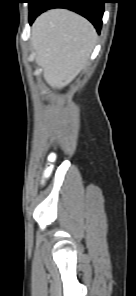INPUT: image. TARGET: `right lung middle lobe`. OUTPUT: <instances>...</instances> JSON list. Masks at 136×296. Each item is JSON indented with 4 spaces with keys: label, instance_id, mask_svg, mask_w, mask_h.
<instances>
[{
    "label": "right lung middle lobe",
    "instance_id": "dd1d6c3e",
    "mask_svg": "<svg viewBox=\"0 0 136 296\" xmlns=\"http://www.w3.org/2000/svg\"><path fill=\"white\" fill-rule=\"evenodd\" d=\"M35 1L36 0H29V7L32 6L33 5L32 3L35 2Z\"/></svg>",
    "mask_w": 136,
    "mask_h": 296
}]
</instances>
